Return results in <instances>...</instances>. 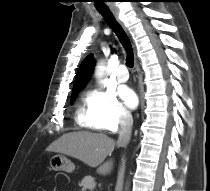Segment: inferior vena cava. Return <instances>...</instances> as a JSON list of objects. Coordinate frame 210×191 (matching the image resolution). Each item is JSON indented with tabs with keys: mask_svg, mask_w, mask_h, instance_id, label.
<instances>
[{
	"mask_svg": "<svg viewBox=\"0 0 210 191\" xmlns=\"http://www.w3.org/2000/svg\"><path fill=\"white\" fill-rule=\"evenodd\" d=\"M133 118L129 111H124L120 117V129L117 145L126 147L131 139Z\"/></svg>",
	"mask_w": 210,
	"mask_h": 191,
	"instance_id": "inferior-vena-cava-1",
	"label": "inferior vena cava"
}]
</instances>
